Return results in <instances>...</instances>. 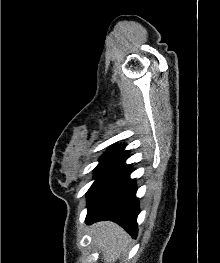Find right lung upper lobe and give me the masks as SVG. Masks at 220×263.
<instances>
[{"mask_svg": "<svg viewBox=\"0 0 220 263\" xmlns=\"http://www.w3.org/2000/svg\"><path fill=\"white\" fill-rule=\"evenodd\" d=\"M125 146L121 145V146H114L113 148L109 149L108 152L106 153H112V154H119L121 152H123Z\"/></svg>", "mask_w": 220, "mask_h": 263, "instance_id": "1", "label": "right lung upper lobe"}]
</instances>
